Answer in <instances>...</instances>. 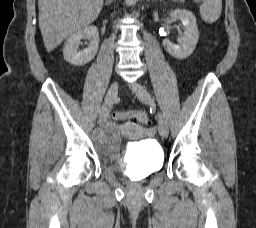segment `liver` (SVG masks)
<instances>
[{
  "label": "liver",
  "mask_w": 256,
  "mask_h": 228,
  "mask_svg": "<svg viewBox=\"0 0 256 228\" xmlns=\"http://www.w3.org/2000/svg\"><path fill=\"white\" fill-rule=\"evenodd\" d=\"M104 0H38L39 27L48 52L95 21Z\"/></svg>",
  "instance_id": "1"
}]
</instances>
